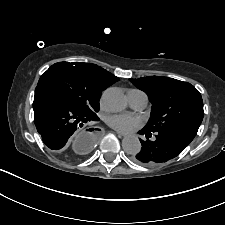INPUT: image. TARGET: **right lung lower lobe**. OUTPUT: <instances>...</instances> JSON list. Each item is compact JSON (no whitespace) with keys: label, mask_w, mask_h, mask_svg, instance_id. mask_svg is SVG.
Wrapping results in <instances>:
<instances>
[{"label":"right lung lower lobe","mask_w":225,"mask_h":225,"mask_svg":"<svg viewBox=\"0 0 225 225\" xmlns=\"http://www.w3.org/2000/svg\"><path fill=\"white\" fill-rule=\"evenodd\" d=\"M33 110L34 123L44 144L58 152L68 147L70 139L84 123L99 120L98 117L84 114L46 87H36ZM86 136L88 147H91L95 142L94 135L88 133Z\"/></svg>","instance_id":"right-lung-lower-lobe-1"}]
</instances>
